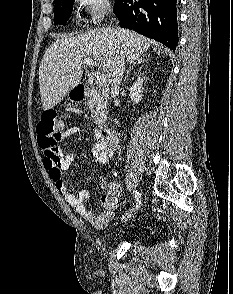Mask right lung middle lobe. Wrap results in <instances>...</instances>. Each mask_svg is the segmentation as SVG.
<instances>
[{
    "label": "right lung middle lobe",
    "mask_w": 233,
    "mask_h": 294,
    "mask_svg": "<svg viewBox=\"0 0 233 294\" xmlns=\"http://www.w3.org/2000/svg\"><path fill=\"white\" fill-rule=\"evenodd\" d=\"M75 0H54V25H64L70 17Z\"/></svg>",
    "instance_id": "obj_1"
}]
</instances>
